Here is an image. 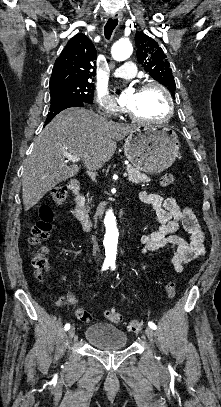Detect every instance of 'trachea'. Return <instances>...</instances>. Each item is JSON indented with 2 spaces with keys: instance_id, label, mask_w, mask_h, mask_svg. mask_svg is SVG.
Instances as JSON below:
<instances>
[{
  "instance_id": "obj_1",
  "label": "trachea",
  "mask_w": 221,
  "mask_h": 407,
  "mask_svg": "<svg viewBox=\"0 0 221 407\" xmlns=\"http://www.w3.org/2000/svg\"><path fill=\"white\" fill-rule=\"evenodd\" d=\"M118 24V19H111L109 18L105 27H104V33H105V37L106 39H110L113 30L116 28Z\"/></svg>"
}]
</instances>
